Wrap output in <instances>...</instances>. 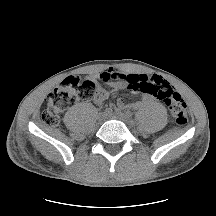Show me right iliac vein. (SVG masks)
I'll return each instance as SVG.
<instances>
[{
    "mask_svg": "<svg viewBox=\"0 0 216 216\" xmlns=\"http://www.w3.org/2000/svg\"><path fill=\"white\" fill-rule=\"evenodd\" d=\"M107 114L105 112H101L98 115V121L100 123H103L106 120Z\"/></svg>",
    "mask_w": 216,
    "mask_h": 216,
    "instance_id": "1",
    "label": "right iliac vein"
}]
</instances>
